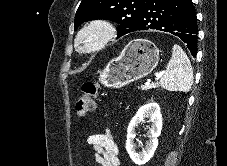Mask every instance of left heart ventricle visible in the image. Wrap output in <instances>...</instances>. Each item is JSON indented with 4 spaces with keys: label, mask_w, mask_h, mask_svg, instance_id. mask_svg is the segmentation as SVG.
I'll use <instances>...</instances> for the list:
<instances>
[{
    "label": "left heart ventricle",
    "mask_w": 227,
    "mask_h": 166,
    "mask_svg": "<svg viewBox=\"0 0 227 166\" xmlns=\"http://www.w3.org/2000/svg\"><path fill=\"white\" fill-rule=\"evenodd\" d=\"M93 39V36H89L85 39L86 42L91 41Z\"/></svg>",
    "instance_id": "1"
}]
</instances>
